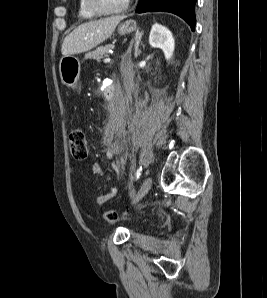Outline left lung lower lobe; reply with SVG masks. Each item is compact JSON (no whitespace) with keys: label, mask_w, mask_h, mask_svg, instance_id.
Wrapping results in <instances>:
<instances>
[{"label":"left lung lower lobe","mask_w":267,"mask_h":298,"mask_svg":"<svg viewBox=\"0 0 267 298\" xmlns=\"http://www.w3.org/2000/svg\"><path fill=\"white\" fill-rule=\"evenodd\" d=\"M197 0H140L136 12H154L166 11L174 13L183 18L194 31L195 18V3Z\"/></svg>","instance_id":"obj_1"}]
</instances>
